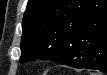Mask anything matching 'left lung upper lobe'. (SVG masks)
I'll return each mask as SVG.
<instances>
[{
    "mask_svg": "<svg viewBox=\"0 0 107 75\" xmlns=\"http://www.w3.org/2000/svg\"><path fill=\"white\" fill-rule=\"evenodd\" d=\"M94 0H29L22 22L21 62L50 59L53 49L70 46Z\"/></svg>",
    "mask_w": 107,
    "mask_h": 75,
    "instance_id": "1",
    "label": "left lung upper lobe"
}]
</instances>
